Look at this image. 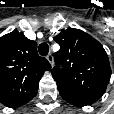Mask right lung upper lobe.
<instances>
[{
    "mask_svg": "<svg viewBox=\"0 0 114 114\" xmlns=\"http://www.w3.org/2000/svg\"><path fill=\"white\" fill-rule=\"evenodd\" d=\"M50 63L37 53V43L14 30L0 38V102L19 107L37 94Z\"/></svg>",
    "mask_w": 114,
    "mask_h": 114,
    "instance_id": "right-lung-upper-lobe-1",
    "label": "right lung upper lobe"
}]
</instances>
